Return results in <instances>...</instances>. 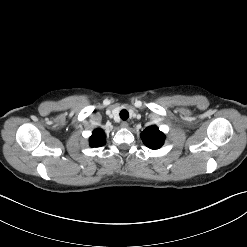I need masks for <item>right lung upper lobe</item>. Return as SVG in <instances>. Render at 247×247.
<instances>
[{
  "label": "right lung upper lobe",
  "mask_w": 247,
  "mask_h": 247,
  "mask_svg": "<svg viewBox=\"0 0 247 247\" xmlns=\"http://www.w3.org/2000/svg\"><path fill=\"white\" fill-rule=\"evenodd\" d=\"M106 143L105 134L101 129H96L93 131L92 136L90 137V146L99 147L103 146Z\"/></svg>",
  "instance_id": "cb5924a9"
}]
</instances>
